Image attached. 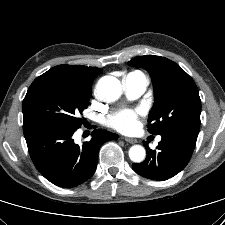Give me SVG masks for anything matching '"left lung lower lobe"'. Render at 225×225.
<instances>
[{
	"label": "left lung lower lobe",
	"instance_id": "left-lung-lower-lobe-1",
	"mask_svg": "<svg viewBox=\"0 0 225 225\" xmlns=\"http://www.w3.org/2000/svg\"><path fill=\"white\" fill-rule=\"evenodd\" d=\"M160 135L162 139L157 150H151L145 142V148L148 150L146 159L142 163H134L132 167L143 177L164 181L175 176L188 164L197 139L172 132Z\"/></svg>",
	"mask_w": 225,
	"mask_h": 225
}]
</instances>
